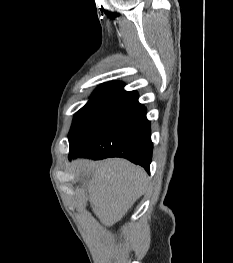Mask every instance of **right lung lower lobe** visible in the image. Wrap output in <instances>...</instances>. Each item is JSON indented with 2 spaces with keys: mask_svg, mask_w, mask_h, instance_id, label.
<instances>
[{
  "mask_svg": "<svg viewBox=\"0 0 233 263\" xmlns=\"http://www.w3.org/2000/svg\"><path fill=\"white\" fill-rule=\"evenodd\" d=\"M69 158L122 157L149 172L152 159L150 122L136 91L119 96L105 115L82 137L69 141Z\"/></svg>",
  "mask_w": 233,
  "mask_h": 263,
  "instance_id": "98d812e1",
  "label": "right lung lower lobe"
}]
</instances>
